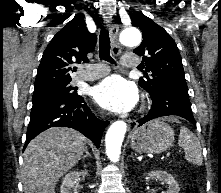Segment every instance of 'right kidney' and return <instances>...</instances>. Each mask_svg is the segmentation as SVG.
Listing matches in <instances>:
<instances>
[{"mask_svg":"<svg viewBox=\"0 0 221 193\" xmlns=\"http://www.w3.org/2000/svg\"><path fill=\"white\" fill-rule=\"evenodd\" d=\"M87 176L88 175V171L87 170H83L81 172L78 171H72L68 174H66V176L64 177L63 181H62V185H61V189H60V193H71V191L73 190V193H78L77 192V182H78V178L79 176Z\"/></svg>","mask_w":221,"mask_h":193,"instance_id":"1","label":"right kidney"}]
</instances>
